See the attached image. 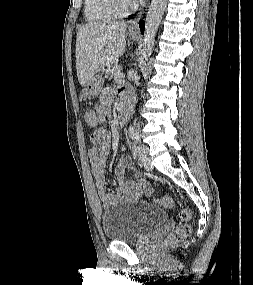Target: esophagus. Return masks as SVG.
Listing matches in <instances>:
<instances>
[{
    "label": "esophagus",
    "instance_id": "1",
    "mask_svg": "<svg viewBox=\"0 0 253 285\" xmlns=\"http://www.w3.org/2000/svg\"><path fill=\"white\" fill-rule=\"evenodd\" d=\"M143 13H144V11L140 12L138 17L135 20L130 22V24H129V29L130 30H133V31H138L139 30V20L141 19Z\"/></svg>",
    "mask_w": 253,
    "mask_h": 285
}]
</instances>
